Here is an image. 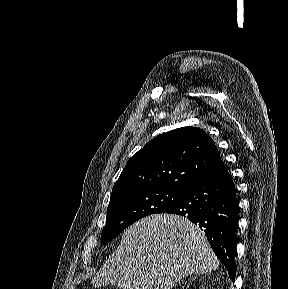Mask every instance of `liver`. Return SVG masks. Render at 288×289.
<instances>
[{
  "mask_svg": "<svg viewBox=\"0 0 288 289\" xmlns=\"http://www.w3.org/2000/svg\"><path fill=\"white\" fill-rule=\"evenodd\" d=\"M205 234L187 218L153 214L132 224L91 283L119 289H171L182 277L217 269Z\"/></svg>",
  "mask_w": 288,
  "mask_h": 289,
  "instance_id": "1",
  "label": "liver"
}]
</instances>
